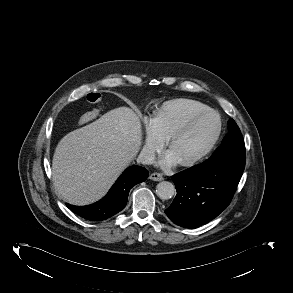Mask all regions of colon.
I'll return each mask as SVG.
<instances>
[{"mask_svg": "<svg viewBox=\"0 0 293 293\" xmlns=\"http://www.w3.org/2000/svg\"><path fill=\"white\" fill-rule=\"evenodd\" d=\"M86 99L89 103L96 105V108H93L84 114H82L79 118L80 124H86L99 116L102 111L104 98L99 92H90L87 94Z\"/></svg>", "mask_w": 293, "mask_h": 293, "instance_id": "5ec220e1", "label": "colon"}]
</instances>
